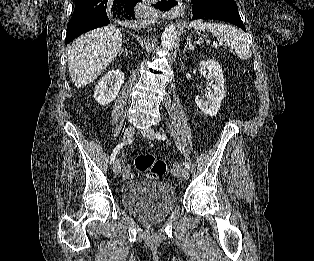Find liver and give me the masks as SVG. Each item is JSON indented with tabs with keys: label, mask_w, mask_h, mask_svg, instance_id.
<instances>
[{
	"label": "liver",
	"mask_w": 314,
	"mask_h": 261,
	"mask_svg": "<svg viewBox=\"0 0 314 261\" xmlns=\"http://www.w3.org/2000/svg\"><path fill=\"white\" fill-rule=\"evenodd\" d=\"M122 34L114 26L102 27L75 39L68 50V69L77 88L96 79L116 58Z\"/></svg>",
	"instance_id": "6515ba94"
}]
</instances>
